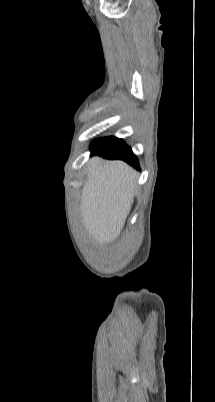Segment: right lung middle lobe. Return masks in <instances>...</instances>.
Returning <instances> with one entry per match:
<instances>
[{"mask_svg":"<svg viewBox=\"0 0 215 402\" xmlns=\"http://www.w3.org/2000/svg\"><path fill=\"white\" fill-rule=\"evenodd\" d=\"M121 139H118L116 137H107V138H102L94 141L92 145H114L117 142H119Z\"/></svg>","mask_w":215,"mask_h":402,"instance_id":"right-lung-middle-lobe-1","label":"right lung middle lobe"}]
</instances>
